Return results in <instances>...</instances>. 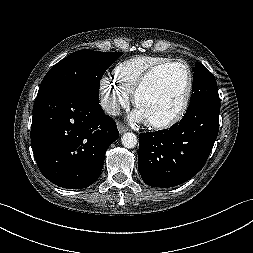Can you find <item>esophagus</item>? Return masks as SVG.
<instances>
[{
    "label": "esophagus",
    "instance_id": "34e87169",
    "mask_svg": "<svg viewBox=\"0 0 253 253\" xmlns=\"http://www.w3.org/2000/svg\"><path fill=\"white\" fill-rule=\"evenodd\" d=\"M117 128H118V131H119L120 134H123V133H125V132L128 131V128L125 127V126H124L122 123H120V122L117 124Z\"/></svg>",
    "mask_w": 253,
    "mask_h": 253
}]
</instances>
